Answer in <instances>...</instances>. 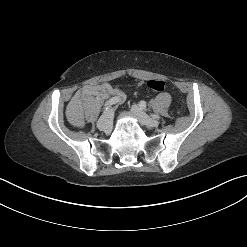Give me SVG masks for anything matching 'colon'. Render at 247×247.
<instances>
[{
    "label": "colon",
    "instance_id": "colon-1",
    "mask_svg": "<svg viewBox=\"0 0 247 247\" xmlns=\"http://www.w3.org/2000/svg\"><path fill=\"white\" fill-rule=\"evenodd\" d=\"M147 86L150 90L155 91V92H161L167 88V84L161 80H150L147 83Z\"/></svg>",
    "mask_w": 247,
    "mask_h": 247
}]
</instances>
